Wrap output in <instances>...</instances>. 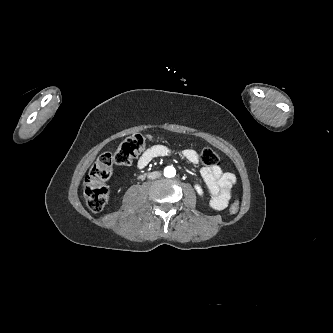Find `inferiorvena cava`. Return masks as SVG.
Listing matches in <instances>:
<instances>
[{
	"mask_svg": "<svg viewBox=\"0 0 333 333\" xmlns=\"http://www.w3.org/2000/svg\"><path fill=\"white\" fill-rule=\"evenodd\" d=\"M161 176L160 172H150L148 174V179H156V178H159Z\"/></svg>",
	"mask_w": 333,
	"mask_h": 333,
	"instance_id": "1",
	"label": "inferior vena cava"
}]
</instances>
